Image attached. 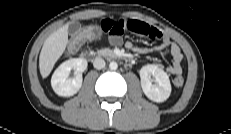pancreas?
Listing matches in <instances>:
<instances>
[{
	"mask_svg": "<svg viewBox=\"0 0 231 134\" xmlns=\"http://www.w3.org/2000/svg\"><path fill=\"white\" fill-rule=\"evenodd\" d=\"M99 55L105 56V57H114V53L109 48L101 49L98 51Z\"/></svg>",
	"mask_w": 231,
	"mask_h": 134,
	"instance_id": "1",
	"label": "pancreas"
}]
</instances>
